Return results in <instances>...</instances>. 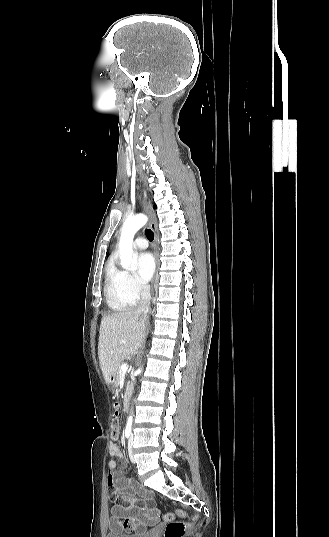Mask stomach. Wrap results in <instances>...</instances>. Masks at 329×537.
Returning a JSON list of instances; mask_svg holds the SVG:
<instances>
[{
	"mask_svg": "<svg viewBox=\"0 0 329 537\" xmlns=\"http://www.w3.org/2000/svg\"><path fill=\"white\" fill-rule=\"evenodd\" d=\"M115 376H116V375L111 376L110 379H109V381H108V385H109V387H111V388H114V387L116 386V384H115L116 377H115Z\"/></svg>",
	"mask_w": 329,
	"mask_h": 537,
	"instance_id": "stomach-1",
	"label": "stomach"
}]
</instances>
